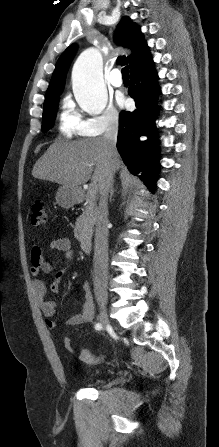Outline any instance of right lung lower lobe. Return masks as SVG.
<instances>
[{"mask_svg": "<svg viewBox=\"0 0 219 447\" xmlns=\"http://www.w3.org/2000/svg\"><path fill=\"white\" fill-rule=\"evenodd\" d=\"M157 79L152 59L130 72L128 93L135 100L137 109L120 113L117 138V149L124 163L134 174L142 171V177L152 191L158 169V152L154 145L157 137L154 121L159 109L156 104ZM141 136L149 139L140 141Z\"/></svg>", "mask_w": 219, "mask_h": 447, "instance_id": "1", "label": "right lung lower lobe"}]
</instances>
